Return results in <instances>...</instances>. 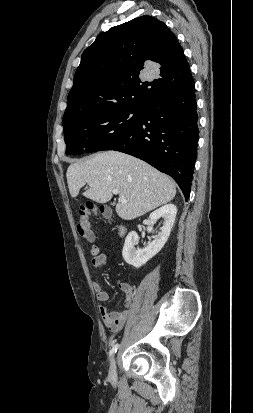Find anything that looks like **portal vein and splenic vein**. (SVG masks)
<instances>
[{
    "instance_id": "1",
    "label": "portal vein and splenic vein",
    "mask_w": 253,
    "mask_h": 413,
    "mask_svg": "<svg viewBox=\"0 0 253 413\" xmlns=\"http://www.w3.org/2000/svg\"><path fill=\"white\" fill-rule=\"evenodd\" d=\"M113 194H118V190H117V189H114V190H113ZM121 201H122V202H126V199H125V198H121Z\"/></svg>"
}]
</instances>
